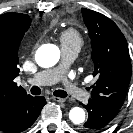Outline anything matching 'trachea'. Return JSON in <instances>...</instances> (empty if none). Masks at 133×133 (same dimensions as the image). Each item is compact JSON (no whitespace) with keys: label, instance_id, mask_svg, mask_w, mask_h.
<instances>
[{"label":"trachea","instance_id":"trachea-1","mask_svg":"<svg viewBox=\"0 0 133 133\" xmlns=\"http://www.w3.org/2000/svg\"><path fill=\"white\" fill-rule=\"evenodd\" d=\"M30 92H31V94H33V95H40V94H41V89H40L39 87H37V86H33V87L30 89ZM53 94H54L55 96H57V97H62V98L67 97V93H66L65 91H63V90H55V91L53 92Z\"/></svg>","mask_w":133,"mask_h":133}]
</instances>
